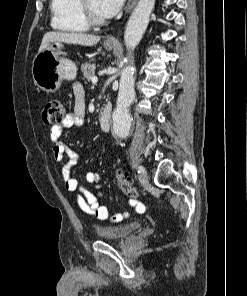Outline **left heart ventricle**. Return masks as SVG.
Instances as JSON below:
<instances>
[{"instance_id":"b2bd125f","label":"left heart ventricle","mask_w":247,"mask_h":296,"mask_svg":"<svg viewBox=\"0 0 247 296\" xmlns=\"http://www.w3.org/2000/svg\"><path fill=\"white\" fill-rule=\"evenodd\" d=\"M88 4L89 7L91 8V10L94 12L95 15H97L98 17L103 18L98 10V6H99V0H88Z\"/></svg>"}]
</instances>
